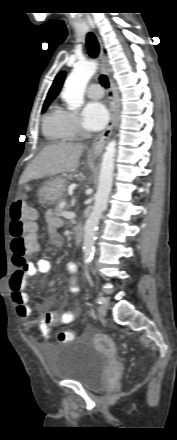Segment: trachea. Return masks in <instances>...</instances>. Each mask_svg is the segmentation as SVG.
Here are the masks:
<instances>
[{"mask_svg":"<svg viewBox=\"0 0 177 440\" xmlns=\"http://www.w3.org/2000/svg\"><path fill=\"white\" fill-rule=\"evenodd\" d=\"M86 45H87V52L90 57L97 58L99 54V43L97 41V38L93 33H88L86 36ZM100 83L105 88L109 87V81L108 78L105 75H102L100 77Z\"/></svg>","mask_w":177,"mask_h":440,"instance_id":"trachea-1","label":"trachea"}]
</instances>
